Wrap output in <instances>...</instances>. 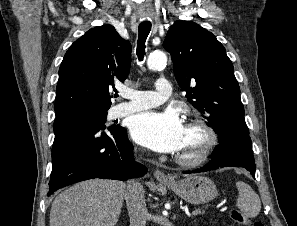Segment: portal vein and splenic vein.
Instances as JSON below:
<instances>
[{"instance_id":"portal-vein-and-splenic-vein-1","label":"portal vein and splenic vein","mask_w":297,"mask_h":226,"mask_svg":"<svg viewBox=\"0 0 297 226\" xmlns=\"http://www.w3.org/2000/svg\"><path fill=\"white\" fill-rule=\"evenodd\" d=\"M209 206H210V205H206V206H204V207H202V208H199V209H196V210L192 211V215L197 214L198 212H200V211L203 210V209L208 208Z\"/></svg>"}]
</instances>
